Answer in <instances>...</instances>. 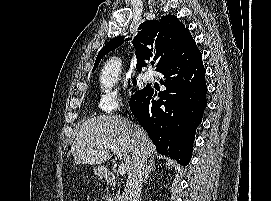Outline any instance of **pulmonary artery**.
<instances>
[{
  "instance_id": "obj_1",
  "label": "pulmonary artery",
  "mask_w": 271,
  "mask_h": 201,
  "mask_svg": "<svg viewBox=\"0 0 271 201\" xmlns=\"http://www.w3.org/2000/svg\"><path fill=\"white\" fill-rule=\"evenodd\" d=\"M142 78L143 81L147 83L152 82L154 80V76L151 72H145Z\"/></svg>"
}]
</instances>
